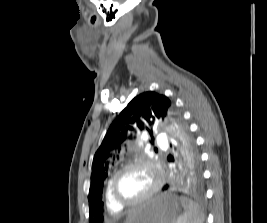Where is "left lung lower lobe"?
Wrapping results in <instances>:
<instances>
[{
  "mask_svg": "<svg viewBox=\"0 0 267 223\" xmlns=\"http://www.w3.org/2000/svg\"><path fill=\"white\" fill-rule=\"evenodd\" d=\"M182 176H188L185 179V189H201L200 181L204 176V171H182ZM165 182H182V177H165ZM168 185L164 186L163 190H166ZM169 190V189H168Z\"/></svg>",
  "mask_w": 267,
  "mask_h": 223,
  "instance_id": "0a47b994",
  "label": "left lung lower lobe"
}]
</instances>
